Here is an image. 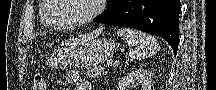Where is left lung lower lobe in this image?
<instances>
[{"label": "left lung lower lobe", "mask_w": 216, "mask_h": 90, "mask_svg": "<svg viewBox=\"0 0 216 90\" xmlns=\"http://www.w3.org/2000/svg\"><path fill=\"white\" fill-rule=\"evenodd\" d=\"M179 0H120L94 19L151 33L165 39L177 53L179 43Z\"/></svg>", "instance_id": "left-lung-lower-lobe-1"}]
</instances>
